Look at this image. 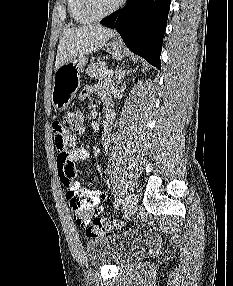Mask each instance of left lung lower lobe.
<instances>
[{
    "instance_id": "1",
    "label": "left lung lower lobe",
    "mask_w": 233,
    "mask_h": 286,
    "mask_svg": "<svg viewBox=\"0 0 233 286\" xmlns=\"http://www.w3.org/2000/svg\"><path fill=\"white\" fill-rule=\"evenodd\" d=\"M171 0H128L126 6L101 21L115 28L125 45L160 69V53Z\"/></svg>"
}]
</instances>
